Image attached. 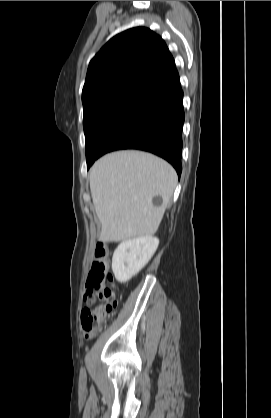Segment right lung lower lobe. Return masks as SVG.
<instances>
[{
  "label": "right lung lower lobe",
  "mask_w": 271,
  "mask_h": 418,
  "mask_svg": "<svg viewBox=\"0 0 271 418\" xmlns=\"http://www.w3.org/2000/svg\"><path fill=\"white\" fill-rule=\"evenodd\" d=\"M184 119L183 91L179 83L116 131L98 158L115 150H143L167 160L180 176Z\"/></svg>",
  "instance_id": "1"
}]
</instances>
